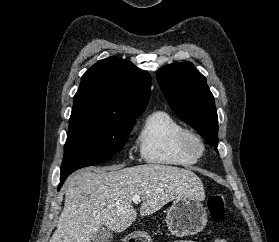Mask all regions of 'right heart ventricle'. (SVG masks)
<instances>
[{"label":"right heart ventricle","mask_w":279,"mask_h":242,"mask_svg":"<svg viewBox=\"0 0 279 242\" xmlns=\"http://www.w3.org/2000/svg\"><path fill=\"white\" fill-rule=\"evenodd\" d=\"M183 127L169 113L154 111L144 120L137 137L140 155L147 163L186 167L197 162L180 145Z\"/></svg>","instance_id":"e07e8e85"}]
</instances>
